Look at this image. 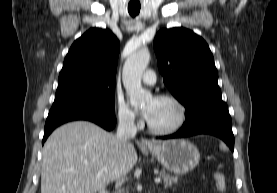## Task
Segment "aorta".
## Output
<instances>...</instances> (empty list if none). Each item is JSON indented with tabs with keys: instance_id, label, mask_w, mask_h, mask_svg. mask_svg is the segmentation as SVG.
<instances>
[{
	"instance_id": "1",
	"label": "aorta",
	"mask_w": 277,
	"mask_h": 193,
	"mask_svg": "<svg viewBox=\"0 0 277 193\" xmlns=\"http://www.w3.org/2000/svg\"><path fill=\"white\" fill-rule=\"evenodd\" d=\"M149 61V50L142 48L130 55L123 67V85L130 98V104L134 107H139L151 99V93L143 90L141 86V77Z\"/></svg>"
}]
</instances>
